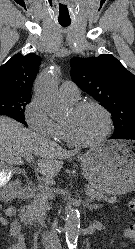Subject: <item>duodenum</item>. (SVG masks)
Wrapping results in <instances>:
<instances>
[{"label":"duodenum","mask_w":135,"mask_h":249,"mask_svg":"<svg viewBox=\"0 0 135 249\" xmlns=\"http://www.w3.org/2000/svg\"><path fill=\"white\" fill-rule=\"evenodd\" d=\"M33 195L34 193L30 187H19V188L9 187L6 188L3 192V196L6 199H13L15 197L21 199H31L33 198Z\"/></svg>","instance_id":"duodenum-1"}]
</instances>
